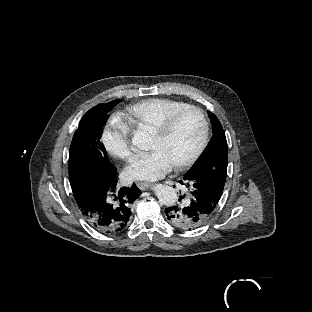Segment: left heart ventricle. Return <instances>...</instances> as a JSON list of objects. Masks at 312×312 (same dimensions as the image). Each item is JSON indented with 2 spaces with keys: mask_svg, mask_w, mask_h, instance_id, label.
Wrapping results in <instances>:
<instances>
[{
  "mask_svg": "<svg viewBox=\"0 0 312 312\" xmlns=\"http://www.w3.org/2000/svg\"><path fill=\"white\" fill-rule=\"evenodd\" d=\"M203 137V121L198 114L176 119L164 141L167 159L174 164L188 162L197 154Z\"/></svg>",
  "mask_w": 312,
  "mask_h": 312,
  "instance_id": "1",
  "label": "left heart ventricle"
}]
</instances>
